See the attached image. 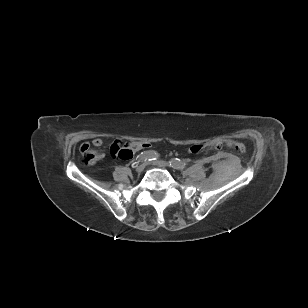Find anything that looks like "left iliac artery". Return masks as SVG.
Listing matches in <instances>:
<instances>
[{
	"label": "left iliac artery",
	"instance_id": "44dca946",
	"mask_svg": "<svg viewBox=\"0 0 308 308\" xmlns=\"http://www.w3.org/2000/svg\"><path fill=\"white\" fill-rule=\"evenodd\" d=\"M170 166L175 169H183L186 167V163L178 158H173L169 161Z\"/></svg>",
	"mask_w": 308,
	"mask_h": 308
}]
</instances>
